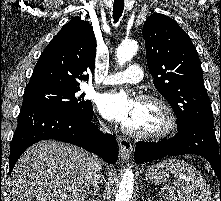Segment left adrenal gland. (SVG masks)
I'll return each mask as SVG.
<instances>
[{"mask_svg":"<svg viewBox=\"0 0 221 201\" xmlns=\"http://www.w3.org/2000/svg\"><path fill=\"white\" fill-rule=\"evenodd\" d=\"M145 201H152V200H151V197H150V194H147V198H146Z\"/></svg>","mask_w":221,"mask_h":201,"instance_id":"obj_1","label":"left adrenal gland"}]
</instances>
